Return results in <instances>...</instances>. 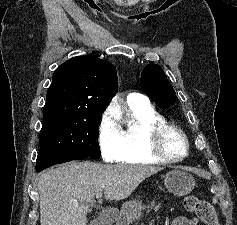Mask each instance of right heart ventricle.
Returning <instances> with one entry per match:
<instances>
[{
  "instance_id": "1",
  "label": "right heart ventricle",
  "mask_w": 237,
  "mask_h": 225,
  "mask_svg": "<svg viewBox=\"0 0 237 225\" xmlns=\"http://www.w3.org/2000/svg\"><path fill=\"white\" fill-rule=\"evenodd\" d=\"M131 123L123 130V151L118 162L125 164H158L163 161L153 155L149 147L148 131L166 123L164 117L147 101L129 105Z\"/></svg>"
}]
</instances>
